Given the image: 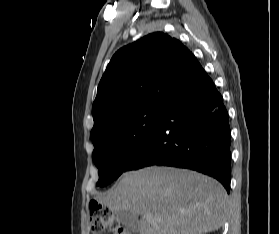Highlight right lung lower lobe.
Returning a JSON list of instances; mask_svg holds the SVG:
<instances>
[{"instance_id": "98d812e1", "label": "right lung lower lobe", "mask_w": 279, "mask_h": 234, "mask_svg": "<svg viewBox=\"0 0 279 234\" xmlns=\"http://www.w3.org/2000/svg\"><path fill=\"white\" fill-rule=\"evenodd\" d=\"M151 165L189 168L230 190L228 113L204 69L163 109L161 117L125 171Z\"/></svg>"}]
</instances>
